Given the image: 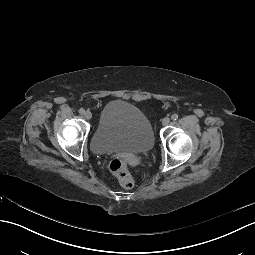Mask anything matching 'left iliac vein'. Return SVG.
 <instances>
[{
  "label": "left iliac vein",
  "instance_id": "left-iliac-vein-1",
  "mask_svg": "<svg viewBox=\"0 0 255 255\" xmlns=\"http://www.w3.org/2000/svg\"><path fill=\"white\" fill-rule=\"evenodd\" d=\"M169 123H170V118H169V117L163 118V120H162L163 126H166V125H168Z\"/></svg>",
  "mask_w": 255,
  "mask_h": 255
}]
</instances>
